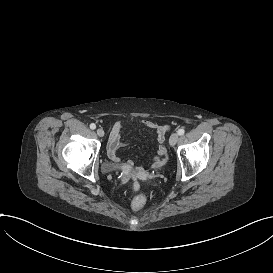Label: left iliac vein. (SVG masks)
Returning <instances> with one entry per match:
<instances>
[{"label": "left iliac vein", "mask_w": 273, "mask_h": 273, "mask_svg": "<svg viewBox=\"0 0 273 273\" xmlns=\"http://www.w3.org/2000/svg\"><path fill=\"white\" fill-rule=\"evenodd\" d=\"M178 139H179V135L177 133H173L169 138V144L171 146H174L177 143Z\"/></svg>", "instance_id": "1"}]
</instances>
